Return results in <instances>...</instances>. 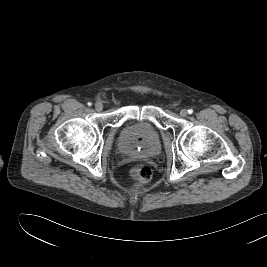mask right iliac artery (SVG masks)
I'll return each mask as SVG.
<instances>
[{"label":"right iliac artery","instance_id":"obj_1","mask_svg":"<svg viewBox=\"0 0 267 267\" xmlns=\"http://www.w3.org/2000/svg\"><path fill=\"white\" fill-rule=\"evenodd\" d=\"M87 105H88V106H91V105H92V103H91V102H88V103H87Z\"/></svg>","mask_w":267,"mask_h":267}]
</instances>
